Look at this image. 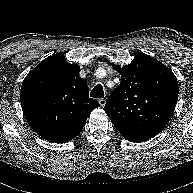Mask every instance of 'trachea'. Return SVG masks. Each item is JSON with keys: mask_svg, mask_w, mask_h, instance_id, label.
Instances as JSON below:
<instances>
[{"mask_svg": "<svg viewBox=\"0 0 193 193\" xmlns=\"http://www.w3.org/2000/svg\"><path fill=\"white\" fill-rule=\"evenodd\" d=\"M90 96L93 98H103L104 97V89L103 86L101 84L96 85L91 93Z\"/></svg>", "mask_w": 193, "mask_h": 193, "instance_id": "3493384b", "label": "trachea"}]
</instances>
